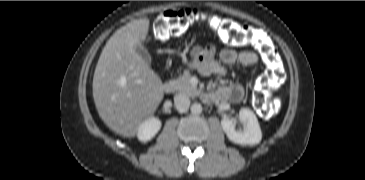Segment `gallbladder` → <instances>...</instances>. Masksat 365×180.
Instances as JSON below:
<instances>
[{"mask_svg": "<svg viewBox=\"0 0 365 180\" xmlns=\"http://www.w3.org/2000/svg\"><path fill=\"white\" fill-rule=\"evenodd\" d=\"M135 49H136V52H137V54L147 63V64H151V61H152V59H151V56H150V54L148 53V51L144 48V47H142V46H140V45H137L136 47H135Z\"/></svg>", "mask_w": 365, "mask_h": 180, "instance_id": "bac80fb5", "label": "gallbladder"}]
</instances>
